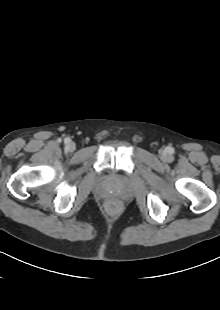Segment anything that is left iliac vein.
Returning a JSON list of instances; mask_svg holds the SVG:
<instances>
[{"mask_svg": "<svg viewBox=\"0 0 220 310\" xmlns=\"http://www.w3.org/2000/svg\"><path fill=\"white\" fill-rule=\"evenodd\" d=\"M163 158H164V159H167V158H168V156H167L166 154H164V155H163Z\"/></svg>", "mask_w": 220, "mask_h": 310, "instance_id": "4c4485c4", "label": "left iliac vein"}]
</instances>
